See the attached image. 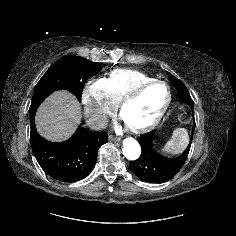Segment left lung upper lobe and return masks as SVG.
Returning <instances> with one entry per match:
<instances>
[{"instance_id":"5c2ea615","label":"left lung upper lobe","mask_w":236,"mask_h":236,"mask_svg":"<svg viewBox=\"0 0 236 236\" xmlns=\"http://www.w3.org/2000/svg\"><path fill=\"white\" fill-rule=\"evenodd\" d=\"M169 79L171 80V83L174 85V87L177 90L178 97L182 99H192L186 86L176 77H174L172 74L168 72Z\"/></svg>"}]
</instances>
